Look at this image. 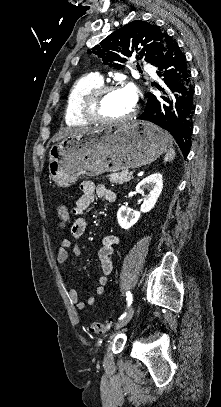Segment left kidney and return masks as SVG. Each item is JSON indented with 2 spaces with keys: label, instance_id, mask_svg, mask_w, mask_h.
Returning <instances> with one entry per match:
<instances>
[{
  "label": "left kidney",
  "instance_id": "left-kidney-1",
  "mask_svg": "<svg viewBox=\"0 0 221 407\" xmlns=\"http://www.w3.org/2000/svg\"><path fill=\"white\" fill-rule=\"evenodd\" d=\"M163 188L162 175L160 173H153L143 179L136 186V193L143 196V204L140 212L131 211L127 206H121L117 212L118 223L121 228L129 229L137 223L141 213L149 212L156 204ZM144 189L148 190V194L144 196Z\"/></svg>",
  "mask_w": 221,
  "mask_h": 407
}]
</instances>
